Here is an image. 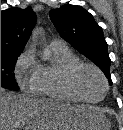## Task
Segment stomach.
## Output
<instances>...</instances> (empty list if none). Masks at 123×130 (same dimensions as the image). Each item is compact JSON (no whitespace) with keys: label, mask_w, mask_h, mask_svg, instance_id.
Instances as JSON below:
<instances>
[{"label":"stomach","mask_w":123,"mask_h":130,"mask_svg":"<svg viewBox=\"0 0 123 130\" xmlns=\"http://www.w3.org/2000/svg\"><path fill=\"white\" fill-rule=\"evenodd\" d=\"M76 130H84V129H76Z\"/></svg>","instance_id":"stomach-1"}]
</instances>
